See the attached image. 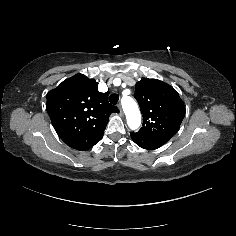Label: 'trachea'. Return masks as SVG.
Returning <instances> with one entry per match:
<instances>
[{"mask_svg": "<svg viewBox=\"0 0 236 236\" xmlns=\"http://www.w3.org/2000/svg\"><path fill=\"white\" fill-rule=\"evenodd\" d=\"M118 100H119V95L116 93L111 94L109 97V101L112 105H116Z\"/></svg>", "mask_w": 236, "mask_h": 236, "instance_id": "1", "label": "trachea"}]
</instances>
